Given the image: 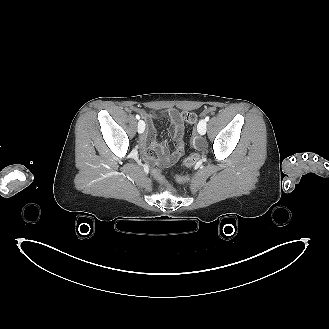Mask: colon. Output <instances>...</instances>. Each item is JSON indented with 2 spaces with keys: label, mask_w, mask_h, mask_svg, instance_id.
<instances>
[{
  "label": "colon",
  "mask_w": 329,
  "mask_h": 329,
  "mask_svg": "<svg viewBox=\"0 0 329 329\" xmlns=\"http://www.w3.org/2000/svg\"><path fill=\"white\" fill-rule=\"evenodd\" d=\"M181 118L183 122L188 123V124H193L197 121L198 116L195 112L193 111H183L181 113ZM198 156L196 153H192L184 162L183 166L184 168L191 167L192 165L195 164ZM154 178L156 180H160V182L163 184L165 187L163 196L165 198H172L173 200H176L178 198V195L172 191V185L170 182L167 180L170 177V174L167 171L164 170H155L153 172ZM175 180L178 183H185L188 181V176L187 175H181V176H176Z\"/></svg>",
  "instance_id": "colon-1"
}]
</instances>
